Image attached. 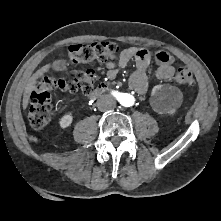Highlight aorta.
Masks as SVG:
<instances>
[{
    "instance_id": "762f6f07",
    "label": "aorta",
    "mask_w": 221,
    "mask_h": 221,
    "mask_svg": "<svg viewBox=\"0 0 221 221\" xmlns=\"http://www.w3.org/2000/svg\"><path fill=\"white\" fill-rule=\"evenodd\" d=\"M135 99L132 95L124 93L120 95V103L125 107H130L134 104Z\"/></svg>"
}]
</instances>
